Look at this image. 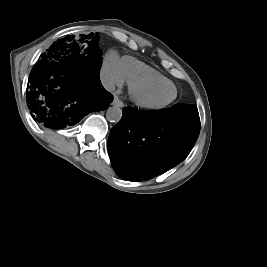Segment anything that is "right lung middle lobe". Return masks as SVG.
Returning <instances> with one entry per match:
<instances>
[{"label":"right lung middle lobe","instance_id":"dd1d6c3e","mask_svg":"<svg viewBox=\"0 0 267 267\" xmlns=\"http://www.w3.org/2000/svg\"><path fill=\"white\" fill-rule=\"evenodd\" d=\"M82 36H84L83 39L85 40L76 41V40H73L74 37L71 38L67 36L64 39L54 42L48 51L59 48L61 44H66V45H70V47L75 48L77 51H81L83 53L90 52L101 60V51L96 47L97 42H98V37L95 36L93 38V33H90L89 35H82Z\"/></svg>","mask_w":267,"mask_h":267}]
</instances>
